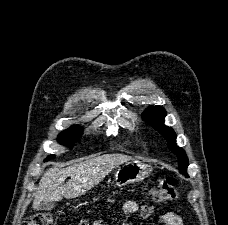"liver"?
I'll return each mask as SVG.
<instances>
[{
    "label": "liver",
    "mask_w": 228,
    "mask_h": 225,
    "mask_svg": "<svg viewBox=\"0 0 228 225\" xmlns=\"http://www.w3.org/2000/svg\"><path fill=\"white\" fill-rule=\"evenodd\" d=\"M127 161H133V159L125 157V155H101V157H94L83 163L70 165L65 169H58V167L48 169L40 179L32 209L39 211L42 201L50 203V201H61L63 197L64 199H76V197L85 195L87 191L101 183L115 167L124 165ZM66 177H70V179L64 185Z\"/></svg>",
    "instance_id": "obj_1"
}]
</instances>
